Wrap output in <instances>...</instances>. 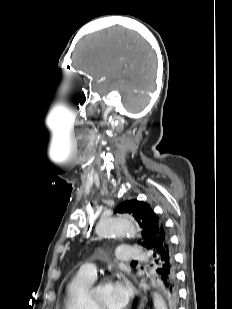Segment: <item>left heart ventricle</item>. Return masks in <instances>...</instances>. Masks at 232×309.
<instances>
[{"label":"left heart ventricle","mask_w":232,"mask_h":309,"mask_svg":"<svg viewBox=\"0 0 232 309\" xmlns=\"http://www.w3.org/2000/svg\"><path fill=\"white\" fill-rule=\"evenodd\" d=\"M96 296L105 309H124L117 300L114 283H107L97 287Z\"/></svg>","instance_id":"b2bd125f"}]
</instances>
